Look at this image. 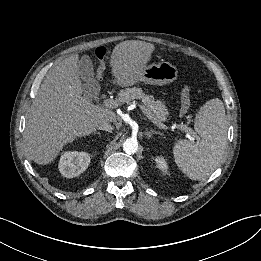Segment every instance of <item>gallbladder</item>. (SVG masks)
Returning a JSON list of instances; mask_svg holds the SVG:
<instances>
[{
  "label": "gallbladder",
  "mask_w": 261,
  "mask_h": 261,
  "mask_svg": "<svg viewBox=\"0 0 261 261\" xmlns=\"http://www.w3.org/2000/svg\"><path fill=\"white\" fill-rule=\"evenodd\" d=\"M79 77L83 81L82 92L85 97L92 99L96 97L99 90V83L95 79L93 64L88 56H83L78 61Z\"/></svg>",
  "instance_id": "bac80fb5"
}]
</instances>
